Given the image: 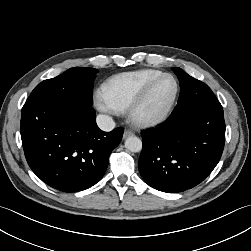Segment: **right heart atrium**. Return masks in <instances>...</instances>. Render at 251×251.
<instances>
[{
	"label": "right heart atrium",
	"mask_w": 251,
	"mask_h": 251,
	"mask_svg": "<svg viewBox=\"0 0 251 251\" xmlns=\"http://www.w3.org/2000/svg\"><path fill=\"white\" fill-rule=\"evenodd\" d=\"M94 104L99 111L105 114L115 115L120 113L118 107L108 98L103 89L94 92Z\"/></svg>",
	"instance_id": "right-heart-atrium-1"
}]
</instances>
